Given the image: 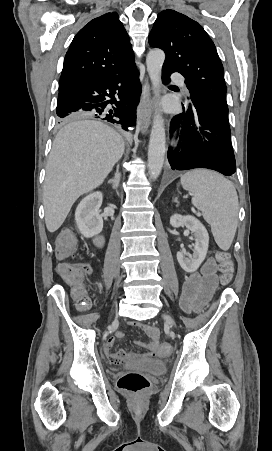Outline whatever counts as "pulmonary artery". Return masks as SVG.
<instances>
[{
	"mask_svg": "<svg viewBox=\"0 0 272 451\" xmlns=\"http://www.w3.org/2000/svg\"><path fill=\"white\" fill-rule=\"evenodd\" d=\"M172 75H173V79L176 81L175 82L176 87H178V90L180 92H183L185 90V87H184L185 75L183 73H179L177 70H174L172 72Z\"/></svg>",
	"mask_w": 272,
	"mask_h": 451,
	"instance_id": "pulmonary-artery-1",
	"label": "pulmonary artery"
}]
</instances>
